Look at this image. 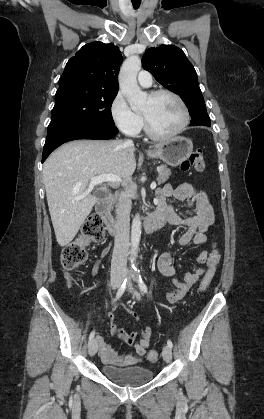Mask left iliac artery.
Instances as JSON below:
<instances>
[{"instance_id": "44dca946", "label": "left iliac artery", "mask_w": 264, "mask_h": 419, "mask_svg": "<svg viewBox=\"0 0 264 419\" xmlns=\"http://www.w3.org/2000/svg\"><path fill=\"white\" fill-rule=\"evenodd\" d=\"M136 271H138V273H139V270H137V269H136ZM138 286H139L140 290H141L143 293H147V292H148V288H147L146 284L144 283V281H143V279L141 278V276H140V275H138ZM167 345H168L170 348H172V347H173V343H172V341H171V340H168V341H167Z\"/></svg>"}]
</instances>
